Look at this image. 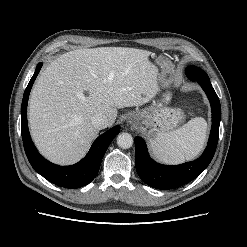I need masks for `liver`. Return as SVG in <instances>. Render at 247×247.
<instances>
[{
  "label": "liver",
  "mask_w": 247,
  "mask_h": 247,
  "mask_svg": "<svg viewBox=\"0 0 247 247\" xmlns=\"http://www.w3.org/2000/svg\"><path fill=\"white\" fill-rule=\"evenodd\" d=\"M151 52L126 47L78 49L51 62L29 99L32 139L48 160L69 165L88 151L99 129L97 114L112 126L117 109L147 103L157 88Z\"/></svg>",
  "instance_id": "6515ba94"
}]
</instances>
